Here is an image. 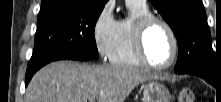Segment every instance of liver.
Wrapping results in <instances>:
<instances>
[{
  "label": "liver",
  "instance_id": "1",
  "mask_svg": "<svg viewBox=\"0 0 221 102\" xmlns=\"http://www.w3.org/2000/svg\"><path fill=\"white\" fill-rule=\"evenodd\" d=\"M154 76L136 68L88 66L58 61L40 69L27 86L25 102H124L139 84Z\"/></svg>",
  "mask_w": 221,
  "mask_h": 102
}]
</instances>
